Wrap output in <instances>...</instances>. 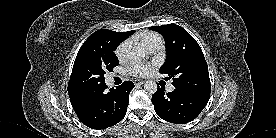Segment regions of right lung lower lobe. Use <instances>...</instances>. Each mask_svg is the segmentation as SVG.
<instances>
[{
	"mask_svg": "<svg viewBox=\"0 0 276 138\" xmlns=\"http://www.w3.org/2000/svg\"><path fill=\"white\" fill-rule=\"evenodd\" d=\"M134 88L132 81H125L116 89L107 90V85L86 92H75L71 100L73 109L83 124L92 129H105L120 122L126 112L129 93Z\"/></svg>",
	"mask_w": 276,
	"mask_h": 138,
	"instance_id": "obj_1",
	"label": "right lung lower lobe"
}]
</instances>
